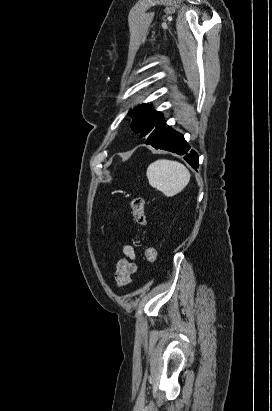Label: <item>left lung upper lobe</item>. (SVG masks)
<instances>
[{
	"label": "left lung upper lobe",
	"mask_w": 272,
	"mask_h": 411,
	"mask_svg": "<svg viewBox=\"0 0 272 411\" xmlns=\"http://www.w3.org/2000/svg\"><path fill=\"white\" fill-rule=\"evenodd\" d=\"M132 118L131 128L140 133V137L149 136L152 132L160 129L165 120L160 112L153 111L152 106L141 104L129 111Z\"/></svg>",
	"instance_id": "5c2ea615"
}]
</instances>
